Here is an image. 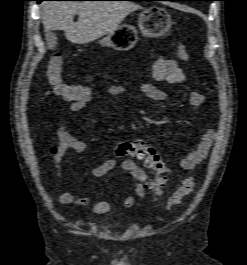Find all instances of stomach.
Masks as SVG:
<instances>
[{"label":"stomach","mask_w":247,"mask_h":265,"mask_svg":"<svg viewBox=\"0 0 247 265\" xmlns=\"http://www.w3.org/2000/svg\"><path fill=\"white\" fill-rule=\"evenodd\" d=\"M172 26L170 14L162 7L151 6L144 9L138 18V27L141 33L148 38H157L166 34ZM138 41L137 30L127 24L117 27L110 32L100 44L118 51L132 49Z\"/></svg>","instance_id":"1"}]
</instances>
